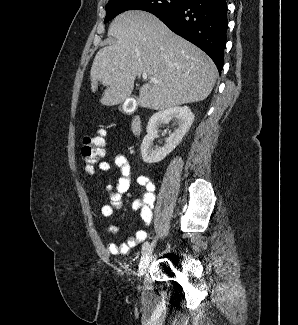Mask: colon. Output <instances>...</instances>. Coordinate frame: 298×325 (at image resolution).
<instances>
[{"instance_id": "obj_1", "label": "colon", "mask_w": 298, "mask_h": 325, "mask_svg": "<svg viewBox=\"0 0 298 325\" xmlns=\"http://www.w3.org/2000/svg\"><path fill=\"white\" fill-rule=\"evenodd\" d=\"M104 131L100 130L97 136L84 137L80 149V156L84 162L85 170L92 174L96 165L104 155Z\"/></svg>"}]
</instances>
